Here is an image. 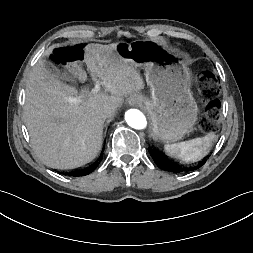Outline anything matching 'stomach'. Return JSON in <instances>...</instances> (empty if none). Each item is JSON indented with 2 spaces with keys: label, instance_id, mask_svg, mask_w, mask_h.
<instances>
[{
  "label": "stomach",
  "instance_id": "1",
  "mask_svg": "<svg viewBox=\"0 0 253 253\" xmlns=\"http://www.w3.org/2000/svg\"><path fill=\"white\" fill-rule=\"evenodd\" d=\"M116 53L135 67L145 68L151 98H140L152 120L154 137L171 144L190 133L198 107L190 90L191 71L183 59L150 41L119 42Z\"/></svg>",
  "mask_w": 253,
  "mask_h": 253
}]
</instances>
